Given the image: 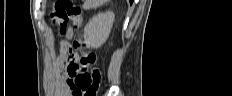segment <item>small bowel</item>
Returning <instances> with one entry per match:
<instances>
[{"label":"small bowel","instance_id":"obj_1","mask_svg":"<svg viewBox=\"0 0 232 96\" xmlns=\"http://www.w3.org/2000/svg\"><path fill=\"white\" fill-rule=\"evenodd\" d=\"M68 47L66 42H63L61 45L60 56L57 63L58 75L54 86V93L56 96H74L75 75L67 72L69 63Z\"/></svg>","mask_w":232,"mask_h":96}]
</instances>
